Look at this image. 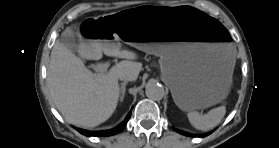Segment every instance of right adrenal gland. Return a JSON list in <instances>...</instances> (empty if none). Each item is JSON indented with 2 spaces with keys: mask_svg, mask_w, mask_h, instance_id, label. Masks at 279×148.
<instances>
[{
  "mask_svg": "<svg viewBox=\"0 0 279 148\" xmlns=\"http://www.w3.org/2000/svg\"><path fill=\"white\" fill-rule=\"evenodd\" d=\"M126 85H127V82L121 83V88H120V101L121 102H123V99H124V96H125Z\"/></svg>",
  "mask_w": 279,
  "mask_h": 148,
  "instance_id": "obj_1",
  "label": "right adrenal gland"
}]
</instances>
